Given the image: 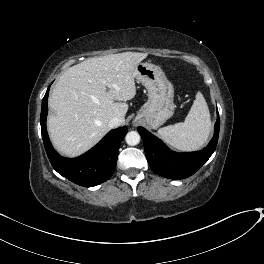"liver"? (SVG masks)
Wrapping results in <instances>:
<instances>
[{
	"label": "liver",
	"mask_w": 264,
	"mask_h": 264,
	"mask_svg": "<svg viewBox=\"0 0 264 264\" xmlns=\"http://www.w3.org/2000/svg\"><path fill=\"white\" fill-rule=\"evenodd\" d=\"M146 53L124 52L89 58L68 68L49 96L53 114L47 120L55 149L78 156L111 129L113 117L124 123L128 100L136 95L134 70Z\"/></svg>",
	"instance_id": "liver-1"
}]
</instances>
